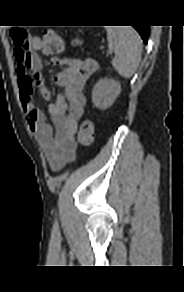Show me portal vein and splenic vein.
Returning a JSON list of instances; mask_svg holds the SVG:
<instances>
[{
    "label": "portal vein and splenic vein",
    "instance_id": "18ae733b",
    "mask_svg": "<svg viewBox=\"0 0 184 292\" xmlns=\"http://www.w3.org/2000/svg\"><path fill=\"white\" fill-rule=\"evenodd\" d=\"M108 54H111V51H108Z\"/></svg>",
    "mask_w": 184,
    "mask_h": 292
}]
</instances>
